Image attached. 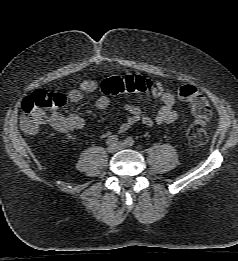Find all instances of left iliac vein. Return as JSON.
I'll return each mask as SVG.
<instances>
[{
  "label": "left iliac vein",
  "mask_w": 238,
  "mask_h": 261,
  "mask_svg": "<svg viewBox=\"0 0 238 261\" xmlns=\"http://www.w3.org/2000/svg\"><path fill=\"white\" fill-rule=\"evenodd\" d=\"M117 147H118L119 150H120V149H124V148L126 147V144H125L124 142H119V143L117 144Z\"/></svg>",
  "instance_id": "left-iliac-vein-1"
}]
</instances>
